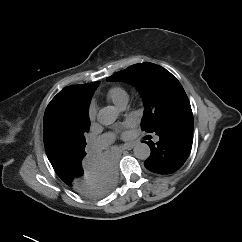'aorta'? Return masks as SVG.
Returning <instances> with one entry per match:
<instances>
[{
  "label": "aorta",
  "mask_w": 242,
  "mask_h": 242,
  "mask_svg": "<svg viewBox=\"0 0 242 242\" xmlns=\"http://www.w3.org/2000/svg\"><path fill=\"white\" fill-rule=\"evenodd\" d=\"M119 115L118 110L113 106H106L99 110L97 114V121L108 126L113 124ZM134 156L140 160H146L150 157L151 150L146 143L138 142L133 149Z\"/></svg>",
  "instance_id": "1"
}]
</instances>
